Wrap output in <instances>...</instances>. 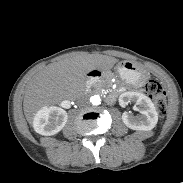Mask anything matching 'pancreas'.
Returning a JSON list of instances; mask_svg holds the SVG:
<instances>
[{"label": "pancreas", "mask_w": 183, "mask_h": 183, "mask_svg": "<svg viewBox=\"0 0 183 183\" xmlns=\"http://www.w3.org/2000/svg\"><path fill=\"white\" fill-rule=\"evenodd\" d=\"M100 85V83H96L95 86L98 87Z\"/></svg>", "instance_id": "pancreas-1"}]
</instances>
